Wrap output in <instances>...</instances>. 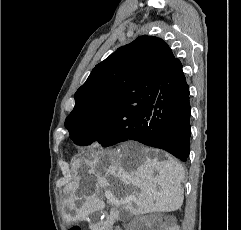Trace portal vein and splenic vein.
Wrapping results in <instances>:
<instances>
[{
    "instance_id": "obj_1",
    "label": "portal vein and splenic vein",
    "mask_w": 241,
    "mask_h": 230,
    "mask_svg": "<svg viewBox=\"0 0 241 230\" xmlns=\"http://www.w3.org/2000/svg\"><path fill=\"white\" fill-rule=\"evenodd\" d=\"M105 196L107 197V199H109V200H112L113 199V196H112V193L111 192H109V193H105ZM130 200H133V199H135V198H129Z\"/></svg>"
}]
</instances>
